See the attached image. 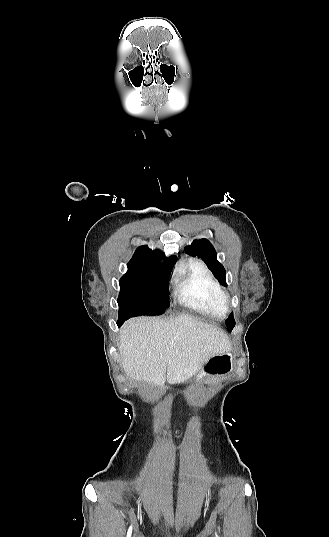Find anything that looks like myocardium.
I'll use <instances>...</instances> for the list:
<instances>
[{"instance_id":"1","label":"myocardium","mask_w":329,"mask_h":537,"mask_svg":"<svg viewBox=\"0 0 329 537\" xmlns=\"http://www.w3.org/2000/svg\"><path fill=\"white\" fill-rule=\"evenodd\" d=\"M220 303L225 310H228L230 308L232 299L227 292H222L220 296Z\"/></svg>"}]
</instances>
